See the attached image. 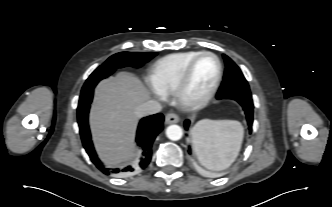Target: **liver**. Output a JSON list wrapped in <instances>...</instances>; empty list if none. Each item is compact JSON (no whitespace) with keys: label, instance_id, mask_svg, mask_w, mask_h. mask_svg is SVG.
I'll use <instances>...</instances> for the list:
<instances>
[{"label":"liver","instance_id":"6515ba94","mask_svg":"<svg viewBox=\"0 0 332 207\" xmlns=\"http://www.w3.org/2000/svg\"><path fill=\"white\" fill-rule=\"evenodd\" d=\"M148 98L141 80L127 72L103 80L96 87L90 126L96 150L107 166H119L134 157L135 110Z\"/></svg>","mask_w":332,"mask_h":207}]
</instances>
